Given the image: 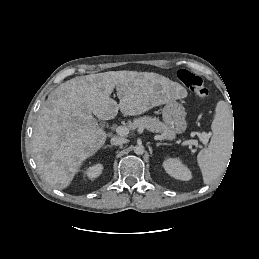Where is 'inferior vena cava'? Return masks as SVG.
<instances>
[{"label":"inferior vena cava","instance_id":"1","mask_svg":"<svg viewBox=\"0 0 259 259\" xmlns=\"http://www.w3.org/2000/svg\"><path fill=\"white\" fill-rule=\"evenodd\" d=\"M111 145L118 146L127 143V139L124 137H112L110 140Z\"/></svg>","mask_w":259,"mask_h":259}]
</instances>
